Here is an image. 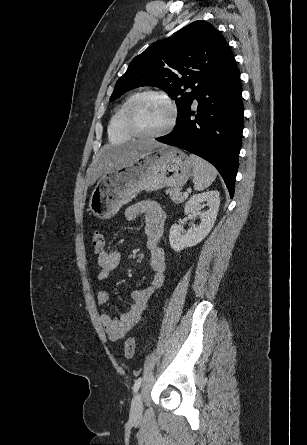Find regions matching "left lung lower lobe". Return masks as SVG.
<instances>
[{"instance_id": "0a47b994", "label": "left lung lower lobe", "mask_w": 307, "mask_h": 445, "mask_svg": "<svg viewBox=\"0 0 307 445\" xmlns=\"http://www.w3.org/2000/svg\"><path fill=\"white\" fill-rule=\"evenodd\" d=\"M197 114L190 110L158 141L175 145L213 164L234 195L243 130L242 88L234 57L199 94ZM195 115V120L190 117Z\"/></svg>"}]
</instances>
